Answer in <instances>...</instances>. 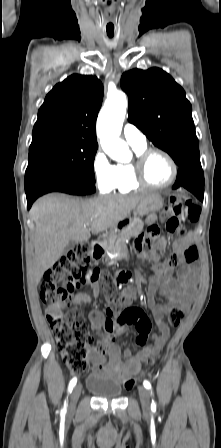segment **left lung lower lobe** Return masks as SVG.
I'll return each instance as SVG.
<instances>
[{"instance_id":"left-lung-lower-lobe-1","label":"left lung lower lobe","mask_w":221,"mask_h":448,"mask_svg":"<svg viewBox=\"0 0 221 448\" xmlns=\"http://www.w3.org/2000/svg\"><path fill=\"white\" fill-rule=\"evenodd\" d=\"M184 187L192 192L199 200L203 201L204 173L200 165H194L178 170L177 179L173 189Z\"/></svg>"}]
</instances>
